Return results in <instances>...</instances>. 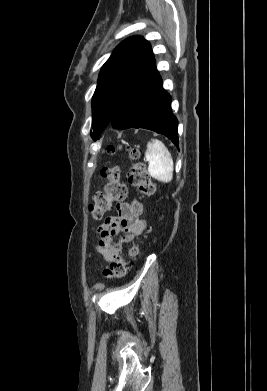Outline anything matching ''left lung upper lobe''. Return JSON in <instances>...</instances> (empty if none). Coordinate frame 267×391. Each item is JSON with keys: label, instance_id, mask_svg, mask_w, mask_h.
I'll return each instance as SVG.
<instances>
[{"label": "left lung upper lobe", "instance_id": "left-lung-upper-lobe-1", "mask_svg": "<svg viewBox=\"0 0 267 391\" xmlns=\"http://www.w3.org/2000/svg\"><path fill=\"white\" fill-rule=\"evenodd\" d=\"M155 66L150 43L140 36L121 42L103 65L92 99L94 140L112 120L118 106Z\"/></svg>", "mask_w": 267, "mask_h": 391}]
</instances>
